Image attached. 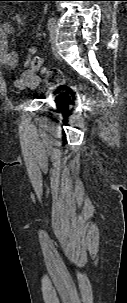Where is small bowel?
Returning a JSON list of instances; mask_svg holds the SVG:
<instances>
[{
	"instance_id": "c3829d8e",
	"label": "small bowel",
	"mask_w": 127,
	"mask_h": 303,
	"mask_svg": "<svg viewBox=\"0 0 127 303\" xmlns=\"http://www.w3.org/2000/svg\"><path fill=\"white\" fill-rule=\"evenodd\" d=\"M14 32V28L9 23L0 25V64L7 69H14L18 64V54L10 50L8 36ZM40 83V78L33 68L26 62V68L22 72L20 79L16 81L19 88L35 87Z\"/></svg>"
}]
</instances>
